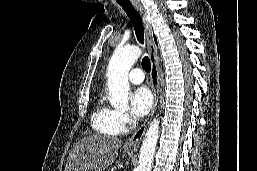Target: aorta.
<instances>
[{"instance_id":"obj_1","label":"aorta","mask_w":257,"mask_h":171,"mask_svg":"<svg viewBox=\"0 0 257 171\" xmlns=\"http://www.w3.org/2000/svg\"><path fill=\"white\" fill-rule=\"evenodd\" d=\"M142 50L138 46L116 48L107 68L109 102L118 109L127 108L129 96L128 72L138 60ZM159 134V119H154L143 140L137 171H151L153 155Z\"/></svg>"}]
</instances>
